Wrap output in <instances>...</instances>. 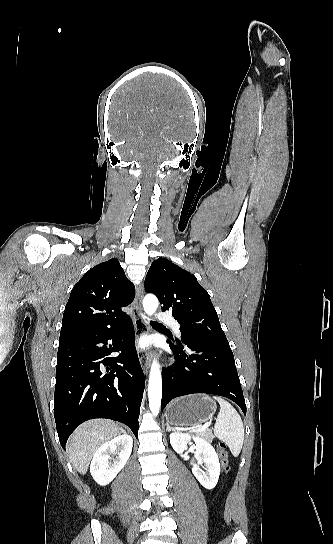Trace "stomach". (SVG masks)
I'll return each mask as SVG.
<instances>
[{
	"label": "stomach",
	"instance_id": "1",
	"mask_svg": "<svg viewBox=\"0 0 333 544\" xmlns=\"http://www.w3.org/2000/svg\"><path fill=\"white\" fill-rule=\"evenodd\" d=\"M216 402L205 394H195L174 400L167 408V421L176 426H194L210 420Z\"/></svg>",
	"mask_w": 333,
	"mask_h": 544
}]
</instances>
